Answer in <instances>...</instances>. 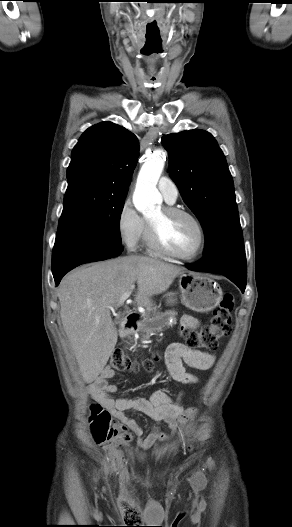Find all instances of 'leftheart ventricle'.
<instances>
[{
    "label": "left heart ventricle",
    "mask_w": 292,
    "mask_h": 527,
    "mask_svg": "<svg viewBox=\"0 0 292 527\" xmlns=\"http://www.w3.org/2000/svg\"><path fill=\"white\" fill-rule=\"evenodd\" d=\"M148 219L159 230L163 244L171 251L187 255L198 245L199 233L194 222L186 216H166L162 208L153 212Z\"/></svg>",
    "instance_id": "obj_1"
}]
</instances>
